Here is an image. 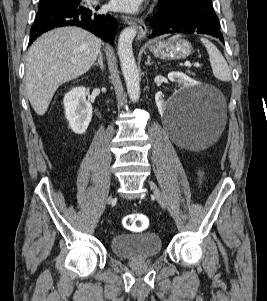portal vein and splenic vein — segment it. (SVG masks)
I'll return each mask as SVG.
<instances>
[{"label": "portal vein and splenic vein", "mask_w": 267, "mask_h": 301, "mask_svg": "<svg viewBox=\"0 0 267 301\" xmlns=\"http://www.w3.org/2000/svg\"><path fill=\"white\" fill-rule=\"evenodd\" d=\"M185 65L186 66H190L191 64L190 63H186ZM193 65H194V67H200L201 66L199 63H194Z\"/></svg>", "instance_id": "portal-vein-and-splenic-vein-1"}]
</instances>
